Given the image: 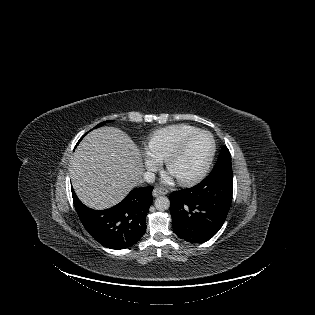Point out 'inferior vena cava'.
<instances>
[{
    "instance_id": "1",
    "label": "inferior vena cava",
    "mask_w": 315,
    "mask_h": 315,
    "mask_svg": "<svg viewBox=\"0 0 315 315\" xmlns=\"http://www.w3.org/2000/svg\"><path fill=\"white\" fill-rule=\"evenodd\" d=\"M143 180L147 183H153L155 180V174L152 172H145L143 174Z\"/></svg>"
}]
</instances>
